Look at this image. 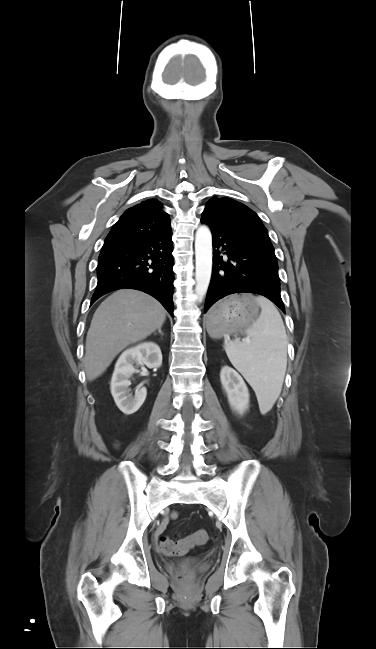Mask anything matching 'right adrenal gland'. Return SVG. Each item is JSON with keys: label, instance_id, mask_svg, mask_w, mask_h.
<instances>
[{"label": "right adrenal gland", "instance_id": "obj_1", "mask_svg": "<svg viewBox=\"0 0 376 649\" xmlns=\"http://www.w3.org/2000/svg\"><path fill=\"white\" fill-rule=\"evenodd\" d=\"M158 333H159L161 336H163V332L161 331V328H158ZM156 334H157V333L154 332V335H156Z\"/></svg>", "mask_w": 376, "mask_h": 649}]
</instances>
